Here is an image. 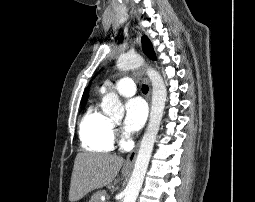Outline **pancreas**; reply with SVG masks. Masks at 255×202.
Returning <instances> with one entry per match:
<instances>
[{
  "label": "pancreas",
  "mask_w": 255,
  "mask_h": 202,
  "mask_svg": "<svg viewBox=\"0 0 255 202\" xmlns=\"http://www.w3.org/2000/svg\"><path fill=\"white\" fill-rule=\"evenodd\" d=\"M102 195H106L105 190L97 191L92 195L91 200L89 202H101L100 198Z\"/></svg>",
  "instance_id": "1"
}]
</instances>
